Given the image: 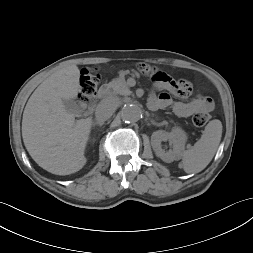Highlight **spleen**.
<instances>
[{"label":"spleen","mask_w":253,"mask_h":253,"mask_svg":"<svg viewBox=\"0 0 253 253\" xmlns=\"http://www.w3.org/2000/svg\"><path fill=\"white\" fill-rule=\"evenodd\" d=\"M222 136L220 120L210 121L194 146L183 152L182 165L186 173H198L207 167L213 159Z\"/></svg>","instance_id":"obj_1"}]
</instances>
